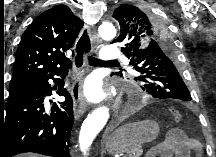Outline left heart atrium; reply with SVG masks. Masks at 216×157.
Here are the masks:
<instances>
[{
    "label": "left heart atrium",
    "instance_id": "obj_1",
    "mask_svg": "<svg viewBox=\"0 0 216 157\" xmlns=\"http://www.w3.org/2000/svg\"><path fill=\"white\" fill-rule=\"evenodd\" d=\"M84 95L90 101H98L104 97V91L99 81L91 79L84 87Z\"/></svg>",
    "mask_w": 216,
    "mask_h": 157
}]
</instances>
